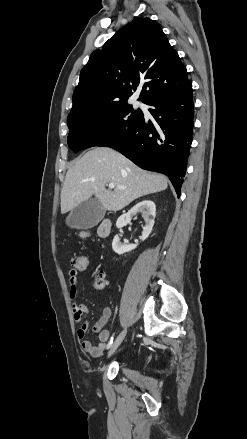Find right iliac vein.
I'll return each instance as SVG.
<instances>
[{
  "mask_svg": "<svg viewBox=\"0 0 247 439\" xmlns=\"http://www.w3.org/2000/svg\"><path fill=\"white\" fill-rule=\"evenodd\" d=\"M127 333V330L124 329L116 338V340L114 341L113 345L111 346L109 352H108V358L110 356H112L114 354V352L117 350V348L120 346V344L122 343L123 339L125 338Z\"/></svg>",
  "mask_w": 247,
  "mask_h": 439,
  "instance_id": "right-iliac-vein-1",
  "label": "right iliac vein"
}]
</instances>
